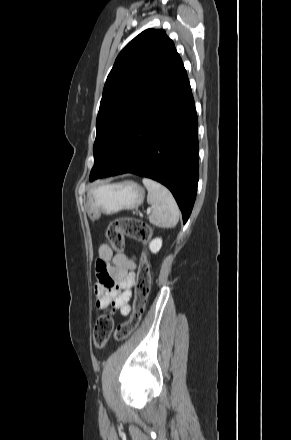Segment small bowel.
Segmentation results:
<instances>
[{
    "instance_id": "c3829d8e",
    "label": "small bowel",
    "mask_w": 291,
    "mask_h": 440,
    "mask_svg": "<svg viewBox=\"0 0 291 440\" xmlns=\"http://www.w3.org/2000/svg\"><path fill=\"white\" fill-rule=\"evenodd\" d=\"M135 268L134 257L115 254L107 244L99 247L95 268L98 279L95 284L98 308L110 306L119 309L123 316L129 314L130 300L133 297L132 288L135 283Z\"/></svg>"
}]
</instances>
